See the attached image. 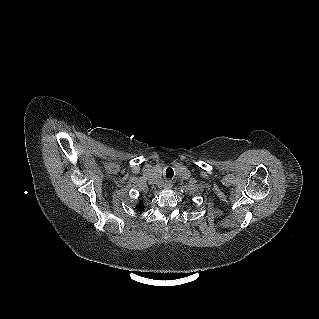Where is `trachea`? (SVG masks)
Wrapping results in <instances>:
<instances>
[{"label": "trachea", "mask_w": 319, "mask_h": 319, "mask_svg": "<svg viewBox=\"0 0 319 319\" xmlns=\"http://www.w3.org/2000/svg\"><path fill=\"white\" fill-rule=\"evenodd\" d=\"M174 176V171L171 167H168L165 172V177L171 179Z\"/></svg>", "instance_id": "trachea-1"}]
</instances>
